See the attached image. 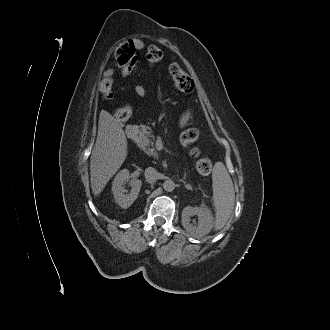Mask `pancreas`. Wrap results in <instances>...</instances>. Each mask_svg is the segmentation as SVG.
I'll use <instances>...</instances> for the list:
<instances>
[{
	"instance_id": "cf45deb5",
	"label": "pancreas",
	"mask_w": 330,
	"mask_h": 330,
	"mask_svg": "<svg viewBox=\"0 0 330 330\" xmlns=\"http://www.w3.org/2000/svg\"><path fill=\"white\" fill-rule=\"evenodd\" d=\"M150 137H153L150 132H143L140 135V145L145 151V153L156 158L158 154L154 148H150L151 146H154V142L150 139Z\"/></svg>"
}]
</instances>
